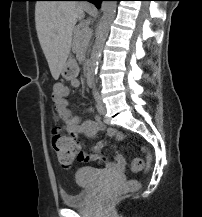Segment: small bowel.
<instances>
[{
    "instance_id": "small-bowel-1",
    "label": "small bowel",
    "mask_w": 202,
    "mask_h": 217,
    "mask_svg": "<svg viewBox=\"0 0 202 217\" xmlns=\"http://www.w3.org/2000/svg\"><path fill=\"white\" fill-rule=\"evenodd\" d=\"M72 85L78 86V78L72 79ZM70 90L62 83H56L53 87V100L54 109L57 117L63 122V129L70 135L72 139L80 134L94 136L104 129V125L99 116L94 119L81 120L79 117L74 116L69 108L68 95ZM91 111V110H90ZM107 134L110 137H122L114 128H109ZM105 147L104 142L97 143L92 152H86L81 161H97L103 165V170L109 173L122 174L126 167V157L124 153L115 151L113 159H109L101 154Z\"/></svg>"
}]
</instances>
